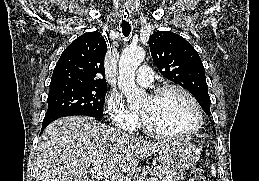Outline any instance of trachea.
<instances>
[{"instance_id": "trachea-1", "label": "trachea", "mask_w": 259, "mask_h": 181, "mask_svg": "<svg viewBox=\"0 0 259 181\" xmlns=\"http://www.w3.org/2000/svg\"><path fill=\"white\" fill-rule=\"evenodd\" d=\"M121 28H122V33L125 37H128L131 31V26L129 24V22L122 20L121 23Z\"/></svg>"}]
</instances>
